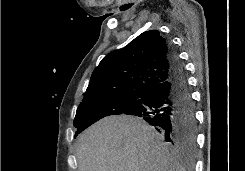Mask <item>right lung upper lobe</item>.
Segmentation results:
<instances>
[{
    "instance_id": "obj_1",
    "label": "right lung upper lobe",
    "mask_w": 245,
    "mask_h": 171,
    "mask_svg": "<svg viewBox=\"0 0 245 171\" xmlns=\"http://www.w3.org/2000/svg\"><path fill=\"white\" fill-rule=\"evenodd\" d=\"M169 50V41L158 30L142 33L126 47L110 52L101 60L82 101L143 95L169 78Z\"/></svg>"
}]
</instances>
